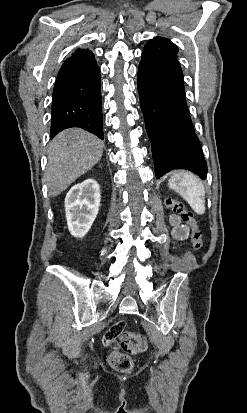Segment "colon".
Listing matches in <instances>:
<instances>
[{
    "instance_id": "colon-1",
    "label": "colon",
    "mask_w": 247,
    "mask_h": 413,
    "mask_svg": "<svg viewBox=\"0 0 247 413\" xmlns=\"http://www.w3.org/2000/svg\"><path fill=\"white\" fill-rule=\"evenodd\" d=\"M164 205L175 213L176 217H180L183 224L187 225L190 230V238L193 248L201 250L203 248L202 232L197 228L193 216L186 206L179 200L166 197ZM124 337H119L123 342H130L132 349L129 351L131 355H144L148 348L147 342L142 333L134 335L133 332H123ZM110 365L119 372H129L133 368L132 358H127L125 353H111L109 356Z\"/></svg>"
}]
</instances>
